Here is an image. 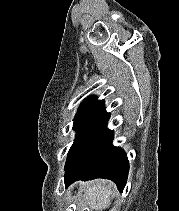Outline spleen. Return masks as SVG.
<instances>
[{
	"label": "spleen",
	"mask_w": 179,
	"mask_h": 211,
	"mask_svg": "<svg viewBox=\"0 0 179 211\" xmlns=\"http://www.w3.org/2000/svg\"><path fill=\"white\" fill-rule=\"evenodd\" d=\"M83 199L85 204L92 209L108 208L110 196L114 192V186L103 180L89 182L83 186Z\"/></svg>",
	"instance_id": "3e777b00"
}]
</instances>
